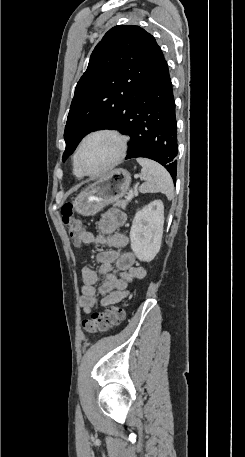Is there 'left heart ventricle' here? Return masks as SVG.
<instances>
[{
  "label": "left heart ventricle",
  "mask_w": 245,
  "mask_h": 457,
  "mask_svg": "<svg viewBox=\"0 0 245 457\" xmlns=\"http://www.w3.org/2000/svg\"><path fill=\"white\" fill-rule=\"evenodd\" d=\"M117 140L110 135H98L90 138L82 150L80 162L88 172L102 169L114 158Z\"/></svg>",
  "instance_id": "obj_1"
}]
</instances>
